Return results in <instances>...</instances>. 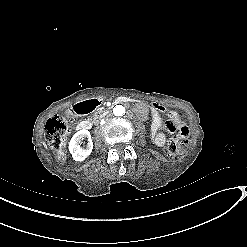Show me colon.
Listing matches in <instances>:
<instances>
[{
    "instance_id": "5ec220e1",
    "label": "colon",
    "mask_w": 247,
    "mask_h": 247,
    "mask_svg": "<svg viewBox=\"0 0 247 247\" xmlns=\"http://www.w3.org/2000/svg\"><path fill=\"white\" fill-rule=\"evenodd\" d=\"M147 109H154L158 113H166L168 106L161 104L159 101L147 100L145 102ZM69 131V125L60 116L50 117L45 124L46 138L50 143L55 156L58 160H62L65 155V143ZM188 144V130L181 128L176 137L171 138L166 146V153L169 158H176L179 151Z\"/></svg>"
}]
</instances>
